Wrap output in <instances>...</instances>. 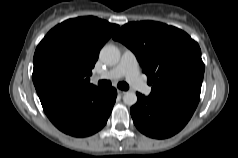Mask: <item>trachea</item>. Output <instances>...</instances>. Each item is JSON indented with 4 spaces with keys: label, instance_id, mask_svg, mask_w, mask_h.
Here are the masks:
<instances>
[{
    "label": "trachea",
    "instance_id": "1",
    "mask_svg": "<svg viewBox=\"0 0 238 158\" xmlns=\"http://www.w3.org/2000/svg\"><path fill=\"white\" fill-rule=\"evenodd\" d=\"M98 85L100 87H109V86H111V82L108 81V80H100L98 82ZM117 86H118L119 89H122V90H128L129 89V85L126 82H119Z\"/></svg>",
    "mask_w": 238,
    "mask_h": 158
}]
</instances>
